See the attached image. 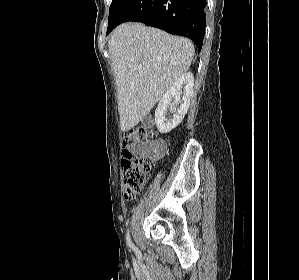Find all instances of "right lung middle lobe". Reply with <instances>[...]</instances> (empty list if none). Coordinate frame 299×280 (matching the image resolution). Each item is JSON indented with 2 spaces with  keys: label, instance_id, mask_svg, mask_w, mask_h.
Here are the masks:
<instances>
[{
  "label": "right lung middle lobe",
  "instance_id": "1",
  "mask_svg": "<svg viewBox=\"0 0 299 280\" xmlns=\"http://www.w3.org/2000/svg\"><path fill=\"white\" fill-rule=\"evenodd\" d=\"M127 0H112V3L110 5V10H109V18H108V28L107 31L110 30L114 23V19L123 7V5L126 3Z\"/></svg>",
  "mask_w": 299,
  "mask_h": 280
}]
</instances>
